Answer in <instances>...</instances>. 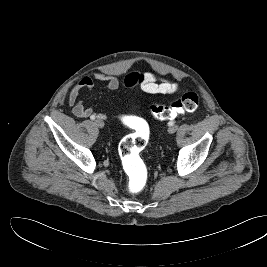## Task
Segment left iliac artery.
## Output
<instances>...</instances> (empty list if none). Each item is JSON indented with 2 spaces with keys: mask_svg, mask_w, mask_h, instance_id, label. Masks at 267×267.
<instances>
[{
  "mask_svg": "<svg viewBox=\"0 0 267 267\" xmlns=\"http://www.w3.org/2000/svg\"><path fill=\"white\" fill-rule=\"evenodd\" d=\"M174 123H175V121H170V122L168 123V125H169V126H172V125H174Z\"/></svg>",
  "mask_w": 267,
  "mask_h": 267,
  "instance_id": "left-iliac-artery-1",
  "label": "left iliac artery"
}]
</instances>
